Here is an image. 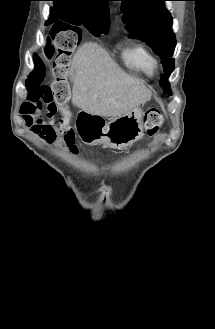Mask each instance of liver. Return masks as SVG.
Wrapping results in <instances>:
<instances>
[{"label":"liver","instance_id":"obj_1","mask_svg":"<svg viewBox=\"0 0 215 329\" xmlns=\"http://www.w3.org/2000/svg\"><path fill=\"white\" fill-rule=\"evenodd\" d=\"M72 103L91 115L115 117L151 99V91L126 74L95 43H85L73 56Z\"/></svg>","mask_w":215,"mask_h":329}]
</instances>
